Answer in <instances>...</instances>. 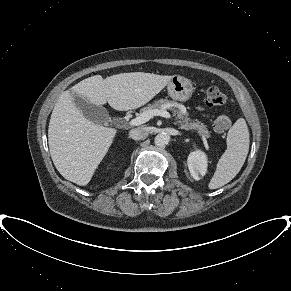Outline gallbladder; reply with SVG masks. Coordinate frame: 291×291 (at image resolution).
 Here are the masks:
<instances>
[{"label": "gallbladder", "instance_id": "gallbladder-1", "mask_svg": "<svg viewBox=\"0 0 291 291\" xmlns=\"http://www.w3.org/2000/svg\"><path fill=\"white\" fill-rule=\"evenodd\" d=\"M73 97L76 106L88 120L99 125H105L110 122L111 118L104 107L92 104L85 97L76 94Z\"/></svg>", "mask_w": 291, "mask_h": 291}]
</instances>
